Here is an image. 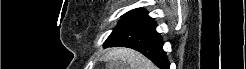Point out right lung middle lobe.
Instances as JSON below:
<instances>
[{
    "label": "right lung middle lobe",
    "instance_id": "obj_1",
    "mask_svg": "<svg viewBox=\"0 0 246 69\" xmlns=\"http://www.w3.org/2000/svg\"><path fill=\"white\" fill-rule=\"evenodd\" d=\"M143 21V17H123L118 25L115 27L113 32L107 38L104 43V47H108V45L113 42L117 37L125 33L126 31L132 29L136 25L140 24Z\"/></svg>",
    "mask_w": 246,
    "mask_h": 69
}]
</instances>
